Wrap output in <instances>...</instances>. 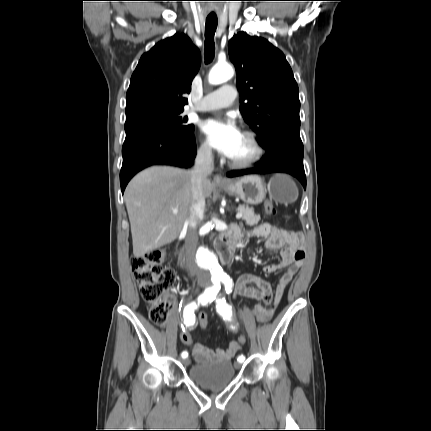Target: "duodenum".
Masks as SVG:
<instances>
[{
    "label": "duodenum",
    "mask_w": 431,
    "mask_h": 431,
    "mask_svg": "<svg viewBox=\"0 0 431 431\" xmlns=\"http://www.w3.org/2000/svg\"><path fill=\"white\" fill-rule=\"evenodd\" d=\"M238 239L239 233L237 231H230L225 237L219 240L217 247L223 262L228 263L231 261L238 244Z\"/></svg>",
    "instance_id": "obj_1"
}]
</instances>
